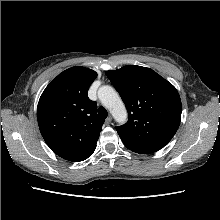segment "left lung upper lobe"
<instances>
[{
    "label": "left lung upper lobe",
    "mask_w": 220,
    "mask_h": 220,
    "mask_svg": "<svg viewBox=\"0 0 220 220\" xmlns=\"http://www.w3.org/2000/svg\"><path fill=\"white\" fill-rule=\"evenodd\" d=\"M129 119L116 128L124 145L140 154L163 148L175 135L182 105L176 88L150 68L127 65L106 71Z\"/></svg>",
    "instance_id": "left-lung-upper-lobe-1"
}]
</instances>
